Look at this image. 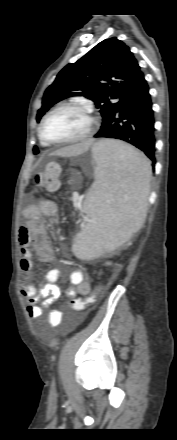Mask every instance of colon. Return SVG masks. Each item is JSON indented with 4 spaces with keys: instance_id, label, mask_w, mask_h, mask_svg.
Listing matches in <instances>:
<instances>
[{
    "instance_id": "colon-1",
    "label": "colon",
    "mask_w": 177,
    "mask_h": 440,
    "mask_svg": "<svg viewBox=\"0 0 177 440\" xmlns=\"http://www.w3.org/2000/svg\"><path fill=\"white\" fill-rule=\"evenodd\" d=\"M59 175L60 167L57 164H49L45 170L34 174L33 183L49 191H56L60 185ZM99 295L100 291L97 289L93 294L85 298H66L65 303L71 311H83L85 305L93 304Z\"/></svg>"
}]
</instances>
